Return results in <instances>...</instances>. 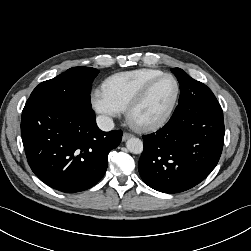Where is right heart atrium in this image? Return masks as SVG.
I'll list each match as a JSON object with an SVG mask.
<instances>
[{
  "mask_svg": "<svg viewBox=\"0 0 251 251\" xmlns=\"http://www.w3.org/2000/svg\"><path fill=\"white\" fill-rule=\"evenodd\" d=\"M91 104L104 124H109L112 118L119 116L122 112L103 89L92 91Z\"/></svg>",
  "mask_w": 251,
  "mask_h": 251,
  "instance_id": "d8ad5b80",
  "label": "right heart atrium"
}]
</instances>
